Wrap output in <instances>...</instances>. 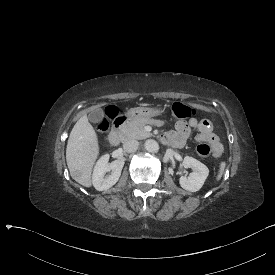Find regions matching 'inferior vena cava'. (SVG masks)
<instances>
[{"label": "inferior vena cava", "instance_id": "1", "mask_svg": "<svg viewBox=\"0 0 275 275\" xmlns=\"http://www.w3.org/2000/svg\"><path fill=\"white\" fill-rule=\"evenodd\" d=\"M139 146V142L137 140H128L123 144V149L126 152H135Z\"/></svg>", "mask_w": 275, "mask_h": 275}]
</instances>
